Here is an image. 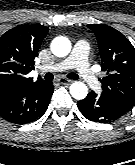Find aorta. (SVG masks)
<instances>
[{
	"label": "aorta",
	"mask_w": 135,
	"mask_h": 165,
	"mask_svg": "<svg viewBox=\"0 0 135 165\" xmlns=\"http://www.w3.org/2000/svg\"><path fill=\"white\" fill-rule=\"evenodd\" d=\"M51 50L57 57H65L71 51V43L65 37H58L52 42ZM70 94L73 98L82 100L87 96L88 88L82 82H74L70 86Z\"/></svg>",
	"instance_id": "aorta-1"
}]
</instances>
